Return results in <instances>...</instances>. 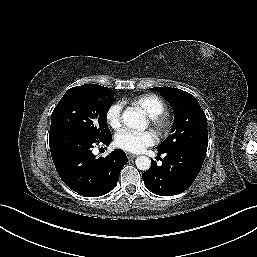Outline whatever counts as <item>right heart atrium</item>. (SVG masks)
<instances>
[{
    "instance_id": "right-heart-atrium-1",
    "label": "right heart atrium",
    "mask_w": 257,
    "mask_h": 257,
    "mask_svg": "<svg viewBox=\"0 0 257 257\" xmlns=\"http://www.w3.org/2000/svg\"><path fill=\"white\" fill-rule=\"evenodd\" d=\"M123 105L120 102H115L109 106L106 111L107 124L113 129H119L122 124Z\"/></svg>"
}]
</instances>
